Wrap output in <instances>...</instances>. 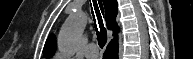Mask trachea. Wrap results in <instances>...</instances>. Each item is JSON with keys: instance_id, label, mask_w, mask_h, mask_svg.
<instances>
[{"instance_id": "1", "label": "trachea", "mask_w": 193, "mask_h": 59, "mask_svg": "<svg viewBox=\"0 0 193 59\" xmlns=\"http://www.w3.org/2000/svg\"><path fill=\"white\" fill-rule=\"evenodd\" d=\"M98 3H99L100 9L98 7V4L95 3L93 0L94 10H95L96 18H97V21L99 24V28L96 25V19H95V14H94L93 8H92V15H93V19L95 21V29H96L98 44H99L100 48H103V46L107 42V34H106V28L104 27L103 19H102V15L104 16V8L102 5V2L99 1Z\"/></svg>"}]
</instances>
